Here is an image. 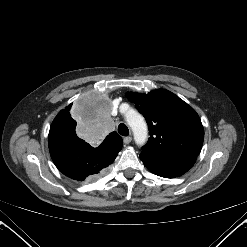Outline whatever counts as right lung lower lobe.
Returning a JSON list of instances; mask_svg holds the SVG:
<instances>
[{"mask_svg": "<svg viewBox=\"0 0 247 247\" xmlns=\"http://www.w3.org/2000/svg\"><path fill=\"white\" fill-rule=\"evenodd\" d=\"M49 150L58 170L65 176L83 181L107 168L118 155V150L109 146L91 147L78 138L75 131L51 127L49 132Z\"/></svg>", "mask_w": 247, "mask_h": 247, "instance_id": "1", "label": "right lung lower lobe"}]
</instances>
